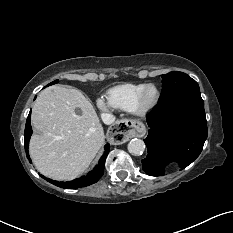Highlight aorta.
<instances>
[{
	"mask_svg": "<svg viewBox=\"0 0 233 233\" xmlns=\"http://www.w3.org/2000/svg\"><path fill=\"white\" fill-rule=\"evenodd\" d=\"M144 150H145V143L141 139L135 138L128 143V151L132 155H140L144 152Z\"/></svg>",
	"mask_w": 233,
	"mask_h": 233,
	"instance_id": "1",
	"label": "aorta"
}]
</instances>
